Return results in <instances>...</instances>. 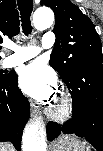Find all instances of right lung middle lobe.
Listing matches in <instances>:
<instances>
[{
  "label": "right lung middle lobe",
  "mask_w": 103,
  "mask_h": 151,
  "mask_svg": "<svg viewBox=\"0 0 103 151\" xmlns=\"http://www.w3.org/2000/svg\"><path fill=\"white\" fill-rule=\"evenodd\" d=\"M15 73H8L6 74L5 71L0 70V80L1 81H7V80H11L14 77Z\"/></svg>",
  "instance_id": "1"
}]
</instances>
